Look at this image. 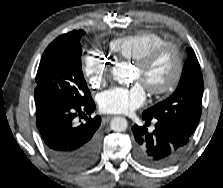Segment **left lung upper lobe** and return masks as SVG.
<instances>
[{
    "label": "left lung upper lobe",
    "mask_w": 223,
    "mask_h": 188,
    "mask_svg": "<svg viewBox=\"0 0 223 188\" xmlns=\"http://www.w3.org/2000/svg\"><path fill=\"white\" fill-rule=\"evenodd\" d=\"M188 58L176 91L166 100L145 110L142 114L171 125L187 136L196 129L201 116L203 77L197 57L187 48Z\"/></svg>",
    "instance_id": "1"
}]
</instances>
